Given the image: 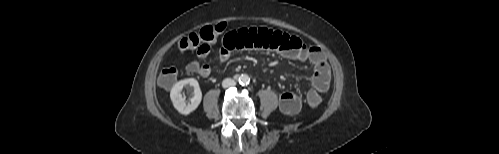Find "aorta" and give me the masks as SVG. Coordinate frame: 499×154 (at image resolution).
Masks as SVG:
<instances>
[{
	"label": "aorta",
	"mask_w": 499,
	"mask_h": 154,
	"mask_svg": "<svg viewBox=\"0 0 499 154\" xmlns=\"http://www.w3.org/2000/svg\"><path fill=\"white\" fill-rule=\"evenodd\" d=\"M238 81L241 85H247L250 82V77L247 74H241Z\"/></svg>",
	"instance_id": "1"
}]
</instances>
